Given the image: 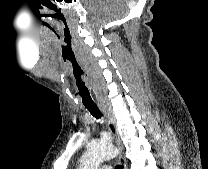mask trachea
<instances>
[{"instance_id":"3493384b","label":"trachea","mask_w":208,"mask_h":169,"mask_svg":"<svg viewBox=\"0 0 208 169\" xmlns=\"http://www.w3.org/2000/svg\"><path fill=\"white\" fill-rule=\"evenodd\" d=\"M85 108L88 109V111L91 113V115L97 119H101L102 113L99 111L98 107L96 105L91 106H85ZM116 169H123V166L117 165Z\"/></svg>"}]
</instances>
